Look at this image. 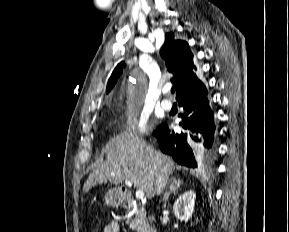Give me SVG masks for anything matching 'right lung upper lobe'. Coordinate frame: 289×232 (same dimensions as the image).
Here are the masks:
<instances>
[{"mask_svg":"<svg viewBox=\"0 0 289 232\" xmlns=\"http://www.w3.org/2000/svg\"><path fill=\"white\" fill-rule=\"evenodd\" d=\"M160 54L166 61L168 71L174 75L172 81L177 85L176 99L178 101L185 96L206 91V86L196 74L197 67L193 63V54L187 42L175 40L173 33H167ZM123 67L125 63L121 62L112 72L107 84V93L115 85Z\"/></svg>","mask_w":289,"mask_h":232,"instance_id":"cb5924a9","label":"right lung upper lobe"}]
</instances>
